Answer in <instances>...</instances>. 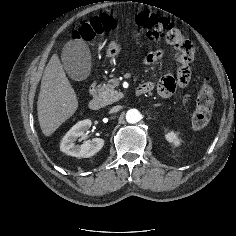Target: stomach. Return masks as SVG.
Wrapping results in <instances>:
<instances>
[{
	"mask_svg": "<svg viewBox=\"0 0 236 236\" xmlns=\"http://www.w3.org/2000/svg\"><path fill=\"white\" fill-rule=\"evenodd\" d=\"M121 51L120 44L117 42H111L110 45L108 46V49L106 51V56L108 58H113L116 57Z\"/></svg>",
	"mask_w": 236,
	"mask_h": 236,
	"instance_id": "0dacf381",
	"label": "stomach"
}]
</instances>
